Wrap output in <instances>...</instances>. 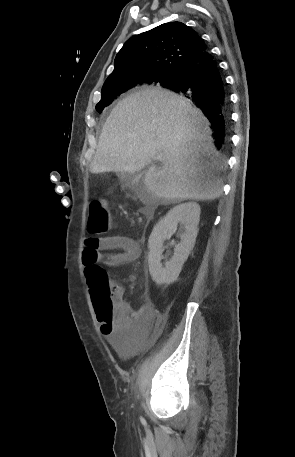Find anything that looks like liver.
I'll return each mask as SVG.
<instances>
[{"instance_id":"liver-1","label":"liver","mask_w":295,"mask_h":457,"mask_svg":"<svg viewBox=\"0 0 295 457\" xmlns=\"http://www.w3.org/2000/svg\"><path fill=\"white\" fill-rule=\"evenodd\" d=\"M211 133L207 118L189 100L160 88L142 90L111 111L90 172L135 173L150 165L143 182L155 197L214 200L222 188ZM160 155L157 167L152 162Z\"/></svg>"}]
</instances>
